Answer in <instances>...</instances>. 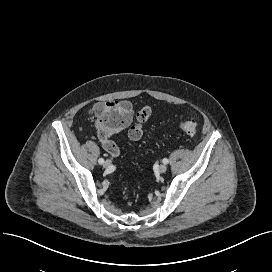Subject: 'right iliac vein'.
Wrapping results in <instances>:
<instances>
[{"instance_id": "63e3f726", "label": "right iliac vein", "mask_w": 272, "mask_h": 272, "mask_svg": "<svg viewBox=\"0 0 272 272\" xmlns=\"http://www.w3.org/2000/svg\"><path fill=\"white\" fill-rule=\"evenodd\" d=\"M103 166H104L105 168H109V167L111 166V161H110V160H106V161L104 162Z\"/></svg>"}]
</instances>
